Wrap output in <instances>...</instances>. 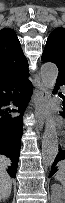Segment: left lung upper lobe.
Returning <instances> with one entry per match:
<instances>
[{"mask_svg":"<svg viewBox=\"0 0 65 203\" xmlns=\"http://www.w3.org/2000/svg\"><path fill=\"white\" fill-rule=\"evenodd\" d=\"M44 62H53L59 69V74L65 76V29L59 27L48 37L44 52L42 54Z\"/></svg>","mask_w":65,"mask_h":203,"instance_id":"5c2ea615","label":"left lung upper lobe"}]
</instances>
